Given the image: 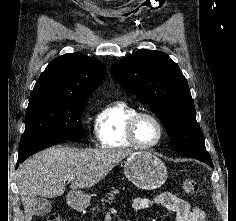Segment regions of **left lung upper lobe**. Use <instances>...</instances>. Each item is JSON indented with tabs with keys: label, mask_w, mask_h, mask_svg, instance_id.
<instances>
[{
	"label": "left lung upper lobe",
	"mask_w": 236,
	"mask_h": 221,
	"mask_svg": "<svg viewBox=\"0 0 236 221\" xmlns=\"http://www.w3.org/2000/svg\"><path fill=\"white\" fill-rule=\"evenodd\" d=\"M110 71L126 91L160 117L176 152L212 162L196 121L187 79L166 53L141 49L113 64Z\"/></svg>",
	"instance_id": "left-lung-upper-lobe-1"
}]
</instances>
